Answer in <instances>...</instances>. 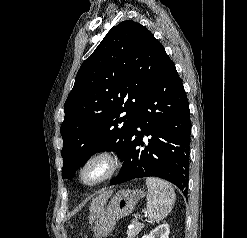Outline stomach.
Here are the masks:
<instances>
[{"instance_id":"0dacf381","label":"stomach","mask_w":247,"mask_h":238,"mask_svg":"<svg viewBox=\"0 0 247 238\" xmlns=\"http://www.w3.org/2000/svg\"><path fill=\"white\" fill-rule=\"evenodd\" d=\"M145 196L142 189H123L118 191L109 204L97 217L93 231L95 238H105L114 229L117 221L135 208L137 201Z\"/></svg>"}]
</instances>
